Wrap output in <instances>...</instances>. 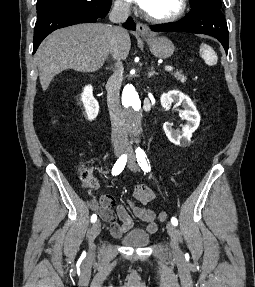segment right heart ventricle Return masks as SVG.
Here are the masks:
<instances>
[{
	"label": "right heart ventricle",
	"mask_w": 255,
	"mask_h": 287,
	"mask_svg": "<svg viewBox=\"0 0 255 287\" xmlns=\"http://www.w3.org/2000/svg\"><path fill=\"white\" fill-rule=\"evenodd\" d=\"M136 39H144V38H136ZM131 48H144V47H131Z\"/></svg>",
	"instance_id": "right-heart-ventricle-1"
}]
</instances>
